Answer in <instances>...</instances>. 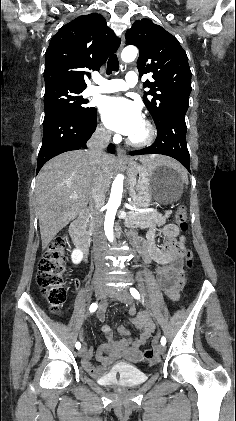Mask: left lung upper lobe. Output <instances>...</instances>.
I'll return each instance as SVG.
<instances>
[{
	"instance_id": "obj_1",
	"label": "left lung upper lobe",
	"mask_w": 236,
	"mask_h": 421,
	"mask_svg": "<svg viewBox=\"0 0 236 421\" xmlns=\"http://www.w3.org/2000/svg\"><path fill=\"white\" fill-rule=\"evenodd\" d=\"M129 45L140 50L137 68L140 77L152 73L153 82L143 86L144 103L155 124L175 109L187 111L191 92L188 58L178 40L149 19L137 20L125 34Z\"/></svg>"
}]
</instances>
